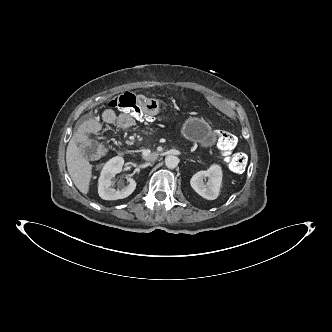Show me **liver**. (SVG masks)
Wrapping results in <instances>:
<instances>
[{
    "mask_svg": "<svg viewBox=\"0 0 332 332\" xmlns=\"http://www.w3.org/2000/svg\"><path fill=\"white\" fill-rule=\"evenodd\" d=\"M66 163L69 175L78 190L87 194L92 177V165L83 157L74 138L67 146Z\"/></svg>",
    "mask_w": 332,
    "mask_h": 332,
    "instance_id": "liver-1",
    "label": "liver"
}]
</instances>
